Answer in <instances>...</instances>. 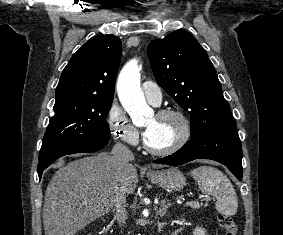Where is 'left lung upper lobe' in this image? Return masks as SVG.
I'll return each instance as SVG.
<instances>
[{"mask_svg": "<svg viewBox=\"0 0 283 235\" xmlns=\"http://www.w3.org/2000/svg\"><path fill=\"white\" fill-rule=\"evenodd\" d=\"M157 83L191 117V138L236 130L217 73L192 34L176 30L148 45Z\"/></svg>", "mask_w": 283, "mask_h": 235, "instance_id": "obj_1", "label": "left lung upper lobe"}]
</instances>
